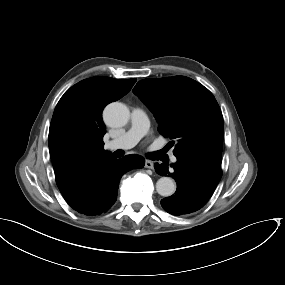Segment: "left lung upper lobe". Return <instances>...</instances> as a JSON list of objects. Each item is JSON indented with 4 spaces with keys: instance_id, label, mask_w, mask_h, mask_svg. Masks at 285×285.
I'll return each mask as SVG.
<instances>
[{
    "instance_id": "1",
    "label": "left lung upper lobe",
    "mask_w": 285,
    "mask_h": 285,
    "mask_svg": "<svg viewBox=\"0 0 285 285\" xmlns=\"http://www.w3.org/2000/svg\"><path fill=\"white\" fill-rule=\"evenodd\" d=\"M133 93L153 112L159 133L176 139V157L221 163L223 117L216 99L202 84L185 76L144 79Z\"/></svg>"
}]
</instances>
